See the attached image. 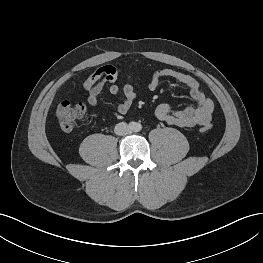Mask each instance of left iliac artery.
Returning <instances> with one entry per match:
<instances>
[{
  "label": "left iliac artery",
  "instance_id": "44dca946",
  "mask_svg": "<svg viewBox=\"0 0 263 263\" xmlns=\"http://www.w3.org/2000/svg\"><path fill=\"white\" fill-rule=\"evenodd\" d=\"M137 129H138V130H140V129H141V126H140V125H138V126H137Z\"/></svg>",
  "mask_w": 263,
  "mask_h": 263
}]
</instances>
